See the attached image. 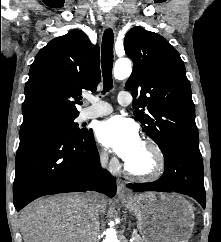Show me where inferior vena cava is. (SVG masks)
Here are the masks:
<instances>
[{
	"mask_svg": "<svg viewBox=\"0 0 221 242\" xmlns=\"http://www.w3.org/2000/svg\"><path fill=\"white\" fill-rule=\"evenodd\" d=\"M99 194L88 192L83 199L86 220L85 242H95L99 233Z\"/></svg>",
	"mask_w": 221,
	"mask_h": 242,
	"instance_id": "1",
	"label": "inferior vena cava"
}]
</instances>
